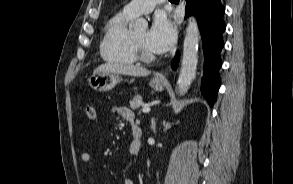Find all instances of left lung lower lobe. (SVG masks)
Wrapping results in <instances>:
<instances>
[{"mask_svg":"<svg viewBox=\"0 0 293 184\" xmlns=\"http://www.w3.org/2000/svg\"><path fill=\"white\" fill-rule=\"evenodd\" d=\"M185 17L191 13L196 15L201 31L204 49V72L201 80V93L212 107L217 99L220 87L219 69L222 65L220 51L224 46L222 34L226 25L223 21L225 12L221 0H186ZM179 54L172 62L176 68Z\"/></svg>","mask_w":293,"mask_h":184,"instance_id":"obj_1","label":"left lung lower lobe"}]
</instances>
